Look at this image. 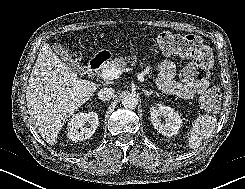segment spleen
<instances>
[{"mask_svg": "<svg viewBox=\"0 0 245 189\" xmlns=\"http://www.w3.org/2000/svg\"><path fill=\"white\" fill-rule=\"evenodd\" d=\"M217 125V119L211 115H200L192 124V129L188 133V143L190 149L199 148L203 141L208 139Z\"/></svg>", "mask_w": 245, "mask_h": 189, "instance_id": "1", "label": "spleen"}]
</instances>
